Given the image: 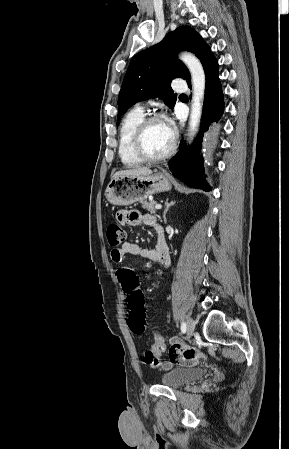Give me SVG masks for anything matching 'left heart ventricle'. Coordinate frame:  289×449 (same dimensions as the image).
Listing matches in <instances>:
<instances>
[{
    "mask_svg": "<svg viewBox=\"0 0 289 449\" xmlns=\"http://www.w3.org/2000/svg\"><path fill=\"white\" fill-rule=\"evenodd\" d=\"M172 131L165 122H154L144 135V147L151 156L164 154L171 146Z\"/></svg>",
    "mask_w": 289,
    "mask_h": 449,
    "instance_id": "obj_1",
    "label": "left heart ventricle"
}]
</instances>
